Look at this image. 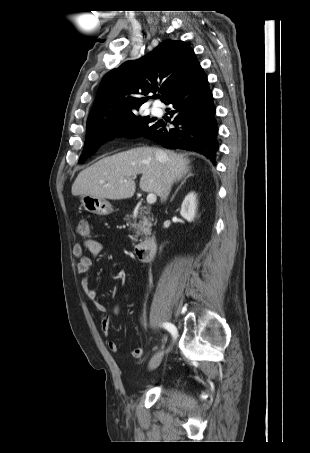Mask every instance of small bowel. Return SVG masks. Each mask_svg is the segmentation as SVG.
I'll list each match as a JSON object with an SVG mask.
<instances>
[{
	"instance_id": "obj_1",
	"label": "small bowel",
	"mask_w": 310,
	"mask_h": 453,
	"mask_svg": "<svg viewBox=\"0 0 310 453\" xmlns=\"http://www.w3.org/2000/svg\"><path fill=\"white\" fill-rule=\"evenodd\" d=\"M84 249H87L92 256H97L102 250V245L97 240L88 238L84 241V244L81 245L76 243L73 246L72 253L74 257L78 259L77 272L82 276L81 278V288L87 298L94 303L96 310L101 314L100 325L101 330L105 335L109 334L111 326V315L106 313V307L99 301H97V292L94 288L90 286L88 273L92 267V260L84 255ZM113 315H118L120 313L119 305H114ZM108 349L113 353L119 352V347L115 341H108ZM143 355V349L140 347L135 348L132 351V356L136 359H140Z\"/></svg>"
}]
</instances>
